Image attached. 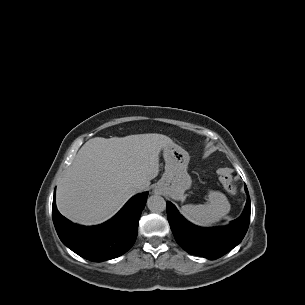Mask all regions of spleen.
<instances>
[{
    "instance_id": "1",
    "label": "spleen",
    "mask_w": 305,
    "mask_h": 305,
    "mask_svg": "<svg viewBox=\"0 0 305 305\" xmlns=\"http://www.w3.org/2000/svg\"><path fill=\"white\" fill-rule=\"evenodd\" d=\"M206 204L183 205L180 213L190 222L201 227H209L219 222L229 211L230 204L226 196L218 191H210Z\"/></svg>"
}]
</instances>
